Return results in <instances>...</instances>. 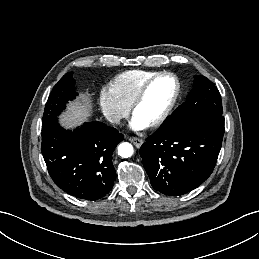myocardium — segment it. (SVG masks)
Listing matches in <instances>:
<instances>
[{"label": "myocardium", "instance_id": "f54148a6", "mask_svg": "<svg viewBox=\"0 0 259 259\" xmlns=\"http://www.w3.org/2000/svg\"><path fill=\"white\" fill-rule=\"evenodd\" d=\"M162 77H169L171 78L173 81H174V84H175V91H174V95L169 103V105L167 106V108L165 109V111L162 113V115L156 119L155 121H153L152 123H150L148 126L151 127V128H155V127H158L160 125H162L166 120L167 118L170 116V114L172 113L177 101H178V98H179V95H180V81L178 79V77L171 73V72H159V73H156L155 75H153L151 78H149L142 86L141 88L139 89V91L137 92L132 104H131V112L132 114L134 115L135 114V111H136V108L139 106V104L142 102V100L144 99L148 89L150 88V86L159 78H162Z\"/></svg>", "mask_w": 259, "mask_h": 259}]
</instances>
